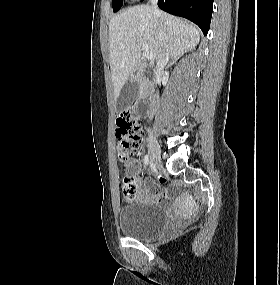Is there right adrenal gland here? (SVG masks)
Segmentation results:
<instances>
[{
	"instance_id": "obj_1",
	"label": "right adrenal gland",
	"mask_w": 280,
	"mask_h": 285,
	"mask_svg": "<svg viewBox=\"0 0 280 285\" xmlns=\"http://www.w3.org/2000/svg\"><path fill=\"white\" fill-rule=\"evenodd\" d=\"M173 64V60L170 61V63L168 64V66H171Z\"/></svg>"
}]
</instances>
